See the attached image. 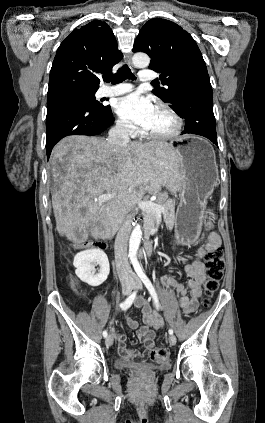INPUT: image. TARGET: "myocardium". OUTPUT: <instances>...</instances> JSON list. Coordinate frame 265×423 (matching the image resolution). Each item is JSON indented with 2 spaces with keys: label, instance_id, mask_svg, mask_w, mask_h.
Returning a JSON list of instances; mask_svg holds the SVG:
<instances>
[{
  "label": "myocardium",
  "instance_id": "1",
  "mask_svg": "<svg viewBox=\"0 0 265 423\" xmlns=\"http://www.w3.org/2000/svg\"><path fill=\"white\" fill-rule=\"evenodd\" d=\"M157 108L161 109L166 114H168L173 119L175 126L173 130L166 133H157V132H152L145 129L146 134L150 136L151 138L158 139V140H169L179 136L184 126L183 119L180 117V115L173 108H171L169 105L165 103H159L157 105Z\"/></svg>",
  "mask_w": 265,
  "mask_h": 423
}]
</instances>
